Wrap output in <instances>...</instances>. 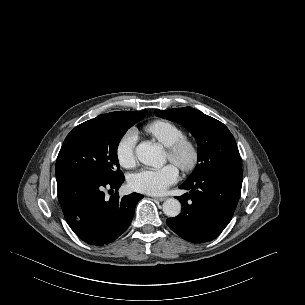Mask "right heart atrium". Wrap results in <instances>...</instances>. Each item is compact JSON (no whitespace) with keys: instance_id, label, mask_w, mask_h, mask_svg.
Masks as SVG:
<instances>
[{"instance_id":"1","label":"right heart atrium","mask_w":305,"mask_h":305,"mask_svg":"<svg viewBox=\"0 0 305 305\" xmlns=\"http://www.w3.org/2000/svg\"><path fill=\"white\" fill-rule=\"evenodd\" d=\"M137 134L134 130L127 131L116 147L117 160L121 167L129 169L136 163Z\"/></svg>"}]
</instances>
